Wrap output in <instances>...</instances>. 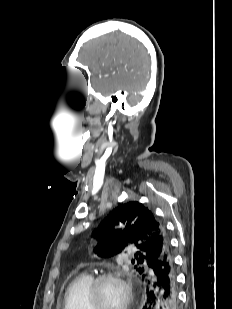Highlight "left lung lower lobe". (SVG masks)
Instances as JSON below:
<instances>
[{"mask_svg": "<svg viewBox=\"0 0 232 309\" xmlns=\"http://www.w3.org/2000/svg\"><path fill=\"white\" fill-rule=\"evenodd\" d=\"M143 282L146 288L143 309L177 308L176 270L170 245L150 262Z\"/></svg>", "mask_w": 232, "mask_h": 309, "instance_id": "left-lung-lower-lobe-1", "label": "left lung lower lobe"}]
</instances>
